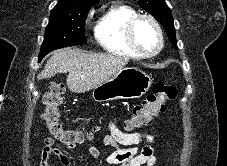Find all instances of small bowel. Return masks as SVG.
Wrapping results in <instances>:
<instances>
[{"instance_id":"obj_1","label":"small bowel","mask_w":227,"mask_h":166,"mask_svg":"<svg viewBox=\"0 0 227 166\" xmlns=\"http://www.w3.org/2000/svg\"><path fill=\"white\" fill-rule=\"evenodd\" d=\"M99 126L92 128L93 132L99 131ZM109 134L104 138V144L113 149V152L105 157L107 166H154L156 157L152 144L155 137L146 133H124L113 122L108 125ZM143 144L142 147L140 145ZM126 146L127 148H122ZM73 149L76 146L72 147ZM90 155L98 160L100 151L94 147H88ZM40 166H71V159L55 147L51 137L44 140V145L39 157Z\"/></svg>"}]
</instances>
